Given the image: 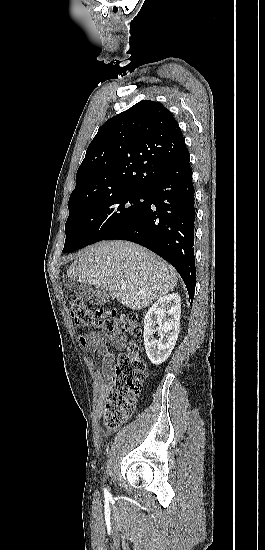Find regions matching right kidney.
<instances>
[{"label": "right kidney", "mask_w": 265, "mask_h": 550, "mask_svg": "<svg viewBox=\"0 0 265 550\" xmlns=\"http://www.w3.org/2000/svg\"><path fill=\"white\" fill-rule=\"evenodd\" d=\"M181 304L180 296L172 293L158 299L144 318V345L151 363L159 365L170 356L179 334ZM155 322L159 338L156 340Z\"/></svg>", "instance_id": "obj_1"}]
</instances>
